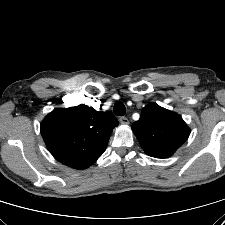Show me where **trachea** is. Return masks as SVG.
I'll use <instances>...</instances> for the list:
<instances>
[{"label":"trachea","mask_w":225,"mask_h":225,"mask_svg":"<svg viewBox=\"0 0 225 225\" xmlns=\"http://www.w3.org/2000/svg\"><path fill=\"white\" fill-rule=\"evenodd\" d=\"M113 110L114 114L117 116H123L126 113V107L121 101L115 103Z\"/></svg>","instance_id":"1"}]
</instances>
